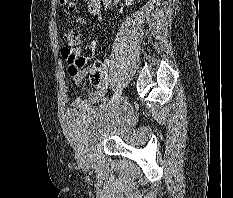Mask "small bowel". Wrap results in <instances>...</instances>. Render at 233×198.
I'll return each mask as SVG.
<instances>
[{"mask_svg": "<svg viewBox=\"0 0 233 198\" xmlns=\"http://www.w3.org/2000/svg\"><path fill=\"white\" fill-rule=\"evenodd\" d=\"M79 44H84L81 42ZM62 56L68 61V74L76 86H80L86 76L92 74L96 69L103 70V65L99 61H95L86 65V59L81 56L78 48L67 47L62 48ZM107 90L105 82H101L97 88L91 90L87 98H76L72 102V107L77 110H89L91 107L101 101Z\"/></svg>", "mask_w": 233, "mask_h": 198, "instance_id": "obj_1", "label": "small bowel"}]
</instances>
